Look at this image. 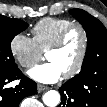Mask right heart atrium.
I'll use <instances>...</instances> for the list:
<instances>
[{
    "mask_svg": "<svg viewBox=\"0 0 107 107\" xmlns=\"http://www.w3.org/2000/svg\"><path fill=\"white\" fill-rule=\"evenodd\" d=\"M9 47L13 58L23 68L33 67L41 57V50L34 39L24 33L16 34Z\"/></svg>",
    "mask_w": 107,
    "mask_h": 107,
    "instance_id": "1",
    "label": "right heart atrium"
}]
</instances>
